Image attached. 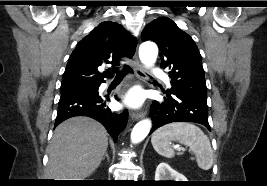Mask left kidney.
I'll return each instance as SVG.
<instances>
[{
    "label": "left kidney",
    "instance_id": "obj_1",
    "mask_svg": "<svg viewBox=\"0 0 267 186\" xmlns=\"http://www.w3.org/2000/svg\"><path fill=\"white\" fill-rule=\"evenodd\" d=\"M155 181H187V179L167 163L162 162L156 168Z\"/></svg>",
    "mask_w": 267,
    "mask_h": 186
}]
</instances>
